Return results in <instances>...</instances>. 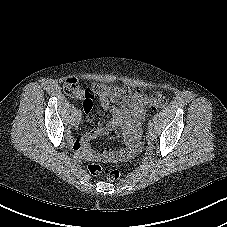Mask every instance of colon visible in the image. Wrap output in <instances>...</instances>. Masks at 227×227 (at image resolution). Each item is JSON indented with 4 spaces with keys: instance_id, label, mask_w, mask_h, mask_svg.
<instances>
[{
    "instance_id": "5ec220e1",
    "label": "colon",
    "mask_w": 227,
    "mask_h": 227,
    "mask_svg": "<svg viewBox=\"0 0 227 227\" xmlns=\"http://www.w3.org/2000/svg\"><path fill=\"white\" fill-rule=\"evenodd\" d=\"M64 91L70 96H75L78 92L82 91L79 82L76 78H69L64 82ZM88 102L92 101L95 97H107L113 102L127 103L138 91L117 87L106 84H95L87 87L84 91ZM143 96V95H142ZM144 99V97H143ZM166 99L162 94L156 93L149 99V105L152 109H161L166 106ZM88 171L92 175H99L102 172V167L99 164L91 163L87 166ZM120 171L113 169L108 172L107 180L110 182H116L120 179Z\"/></svg>"
}]
</instances>
